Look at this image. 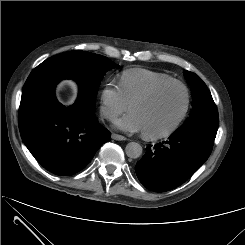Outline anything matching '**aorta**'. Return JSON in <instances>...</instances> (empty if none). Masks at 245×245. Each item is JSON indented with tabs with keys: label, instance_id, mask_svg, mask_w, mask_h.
Wrapping results in <instances>:
<instances>
[{
	"label": "aorta",
	"instance_id": "aorta-1",
	"mask_svg": "<svg viewBox=\"0 0 245 245\" xmlns=\"http://www.w3.org/2000/svg\"><path fill=\"white\" fill-rule=\"evenodd\" d=\"M125 152L130 158H138L142 154V146L137 142H130L126 145Z\"/></svg>",
	"mask_w": 245,
	"mask_h": 245
}]
</instances>
